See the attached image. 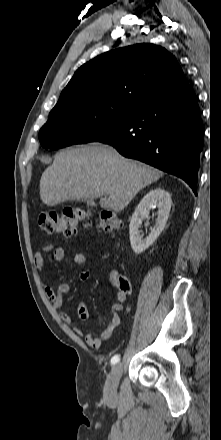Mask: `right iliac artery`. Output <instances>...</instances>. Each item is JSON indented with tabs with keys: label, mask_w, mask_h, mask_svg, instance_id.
<instances>
[{
	"label": "right iliac artery",
	"mask_w": 221,
	"mask_h": 440,
	"mask_svg": "<svg viewBox=\"0 0 221 440\" xmlns=\"http://www.w3.org/2000/svg\"><path fill=\"white\" fill-rule=\"evenodd\" d=\"M119 361H120V356H119V355H115V356H113L112 359H111V363H112V364H116V363H118Z\"/></svg>",
	"instance_id": "1"
}]
</instances>
